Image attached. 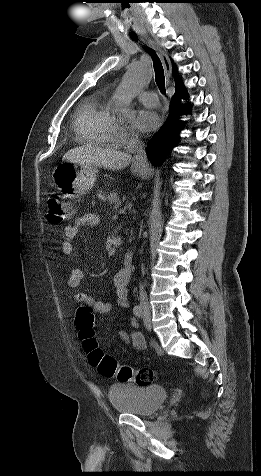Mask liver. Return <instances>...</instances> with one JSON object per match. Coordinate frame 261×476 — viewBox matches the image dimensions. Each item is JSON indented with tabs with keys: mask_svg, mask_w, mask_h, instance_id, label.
Wrapping results in <instances>:
<instances>
[{
	"mask_svg": "<svg viewBox=\"0 0 261 476\" xmlns=\"http://www.w3.org/2000/svg\"><path fill=\"white\" fill-rule=\"evenodd\" d=\"M63 161L79 164H91L96 167H103L109 170H120L131 164V171L142 178L151 175L146 162H140L127 152L117 151L112 148H102L98 146L85 145L69 150Z\"/></svg>",
	"mask_w": 261,
	"mask_h": 476,
	"instance_id": "liver-1",
	"label": "liver"
}]
</instances>
